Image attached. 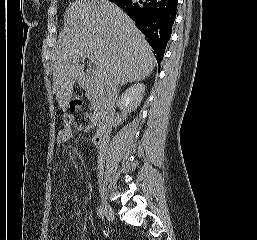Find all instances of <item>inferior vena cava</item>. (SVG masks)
I'll list each match as a JSON object with an SVG mask.
<instances>
[{"label":"inferior vena cava","instance_id":"602c4592","mask_svg":"<svg viewBox=\"0 0 257 240\" xmlns=\"http://www.w3.org/2000/svg\"><path fill=\"white\" fill-rule=\"evenodd\" d=\"M118 80L112 79L111 81L107 82L105 85V97L107 101V108H106V113H105V123L103 130L105 132H108L111 126V120L113 117V112H114V106L117 98V91H118ZM98 169L102 170L103 169V159L100 157L98 161Z\"/></svg>","mask_w":257,"mask_h":240}]
</instances>
